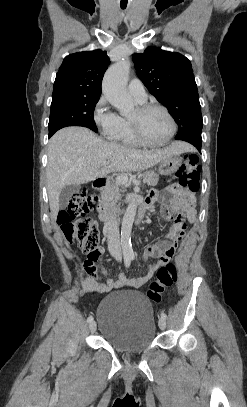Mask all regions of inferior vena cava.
<instances>
[{"label":"inferior vena cava","instance_id":"602c4592","mask_svg":"<svg viewBox=\"0 0 247 407\" xmlns=\"http://www.w3.org/2000/svg\"><path fill=\"white\" fill-rule=\"evenodd\" d=\"M104 233L107 236L108 250L110 254L117 260H122V250L120 243L118 222L113 214L110 215L104 225Z\"/></svg>","mask_w":247,"mask_h":407}]
</instances>
